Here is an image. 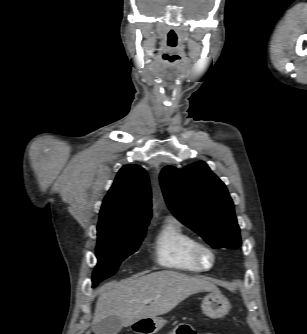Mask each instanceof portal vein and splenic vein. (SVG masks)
<instances>
[{"label": "portal vein and splenic vein", "mask_w": 307, "mask_h": 334, "mask_svg": "<svg viewBox=\"0 0 307 334\" xmlns=\"http://www.w3.org/2000/svg\"><path fill=\"white\" fill-rule=\"evenodd\" d=\"M152 301L151 298H146L143 300V303L147 304V303H150Z\"/></svg>", "instance_id": "1"}]
</instances>
